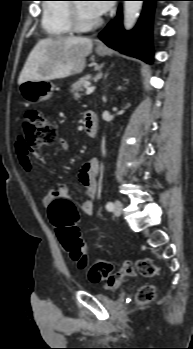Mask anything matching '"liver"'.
Masks as SVG:
<instances>
[{"label": "liver", "mask_w": 193, "mask_h": 349, "mask_svg": "<svg viewBox=\"0 0 193 349\" xmlns=\"http://www.w3.org/2000/svg\"><path fill=\"white\" fill-rule=\"evenodd\" d=\"M93 42L83 37H48L41 39L30 52L18 84L27 80H54L80 73Z\"/></svg>", "instance_id": "obj_1"}]
</instances>
